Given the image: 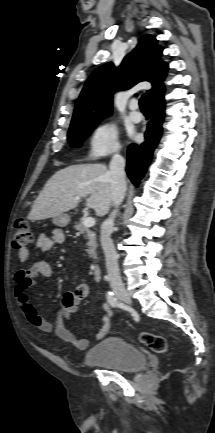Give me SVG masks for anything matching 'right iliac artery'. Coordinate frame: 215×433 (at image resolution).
<instances>
[{
  "instance_id": "82829eb1",
  "label": "right iliac artery",
  "mask_w": 215,
  "mask_h": 433,
  "mask_svg": "<svg viewBox=\"0 0 215 433\" xmlns=\"http://www.w3.org/2000/svg\"><path fill=\"white\" fill-rule=\"evenodd\" d=\"M107 301L112 307H117V306L121 305V303H119L117 301L116 297L114 296V293L111 291L107 292Z\"/></svg>"
}]
</instances>
